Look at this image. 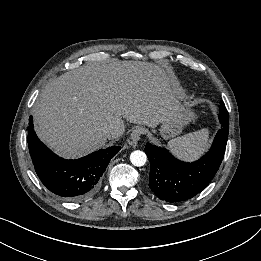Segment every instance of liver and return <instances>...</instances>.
<instances>
[{
	"label": "liver",
	"mask_w": 261,
	"mask_h": 261,
	"mask_svg": "<svg viewBox=\"0 0 261 261\" xmlns=\"http://www.w3.org/2000/svg\"><path fill=\"white\" fill-rule=\"evenodd\" d=\"M183 92L169 68L141 61L90 63L51 81L36 100L35 130L66 158L105 145L104 129L123 119L156 127L183 109Z\"/></svg>",
	"instance_id": "obj_1"
}]
</instances>
